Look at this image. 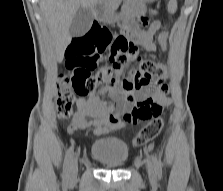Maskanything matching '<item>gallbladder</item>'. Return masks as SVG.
Segmentation results:
<instances>
[{"instance_id": "gallbladder-1", "label": "gallbladder", "mask_w": 223, "mask_h": 191, "mask_svg": "<svg viewBox=\"0 0 223 191\" xmlns=\"http://www.w3.org/2000/svg\"><path fill=\"white\" fill-rule=\"evenodd\" d=\"M93 15L92 12L84 7H80L70 25V35L72 37H81L85 35L92 24Z\"/></svg>"}]
</instances>
